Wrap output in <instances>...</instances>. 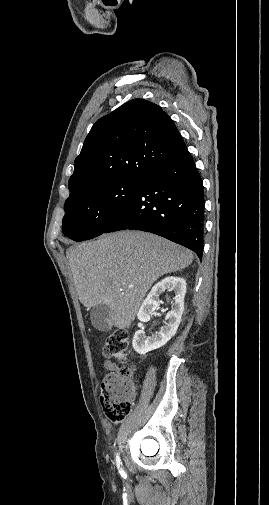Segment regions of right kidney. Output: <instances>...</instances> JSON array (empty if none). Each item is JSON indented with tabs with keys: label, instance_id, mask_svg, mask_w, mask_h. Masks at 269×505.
Returning <instances> with one entry per match:
<instances>
[{
	"label": "right kidney",
	"instance_id": "ca27d5eb",
	"mask_svg": "<svg viewBox=\"0 0 269 505\" xmlns=\"http://www.w3.org/2000/svg\"><path fill=\"white\" fill-rule=\"evenodd\" d=\"M165 291H173L174 305L167 313L165 326L152 336H147L144 330H138L133 337V348L144 355L149 351L164 346L177 332L184 311V297L186 294V281L183 278L168 276L160 280L152 288L142 303L137 317L141 322H148L153 312L160 306V295Z\"/></svg>",
	"mask_w": 269,
	"mask_h": 505
}]
</instances>
